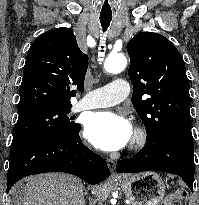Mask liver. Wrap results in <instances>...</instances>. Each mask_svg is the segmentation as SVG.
I'll use <instances>...</instances> for the list:
<instances>
[{"mask_svg": "<svg viewBox=\"0 0 199 205\" xmlns=\"http://www.w3.org/2000/svg\"><path fill=\"white\" fill-rule=\"evenodd\" d=\"M26 181L22 197L15 199L14 205H85L84 186L74 176L47 173Z\"/></svg>", "mask_w": 199, "mask_h": 205, "instance_id": "6515ba94", "label": "liver"}]
</instances>
